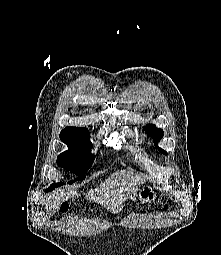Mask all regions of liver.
Segmentation results:
<instances>
[{
	"label": "liver",
	"mask_w": 221,
	"mask_h": 255,
	"mask_svg": "<svg viewBox=\"0 0 221 255\" xmlns=\"http://www.w3.org/2000/svg\"><path fill=\"white\" fill-rule=\"evenodd\" d=\"M143 181L132 171L120 170L111 174L100 187L84 194L89 202H96L114 213L122 210V204L128 199L133 200ZM75 190H59L47 198L46 213L53 216L62 203L76 195Z\"/></svg>",
	"instance_id": "obj_1"
}]
</instances>
